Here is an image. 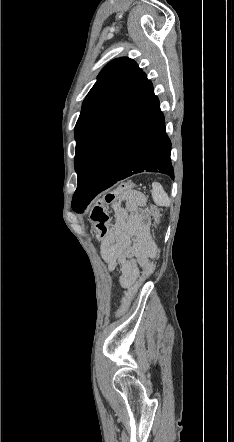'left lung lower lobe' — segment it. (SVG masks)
Here are the masks:
<instances>
[{"label": "left lung lower lobe", "mask_w": 234, "mask_h": 442, "mask_svg": "<svg viewBox=\"0 0 234 442\" xmlns=\"http://www.w3.org/2000/svg\"><path fill=\"white\" fill-rule=\"evenodd\" d=\"M170 151L159 100L142 72L89 139L77 173L73 210L82 212L98 193L139 172L174 179Z\"/></svg>", "instance_id": "1"}]
</instances>
